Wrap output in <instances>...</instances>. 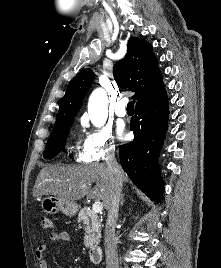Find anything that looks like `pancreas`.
Here are the masks:
<instances>
[{
  "label": "pancreas",
  "mask_w": 221,
  "mask_h": 268,
  "mask_svg": "<svg viewBox=\"0 0 221 268\" xmlns=\"http://www.w3.org/2000/svg\"><path fill=\"white\" fill-rule=\"evenodd\" d=\"M78 221L84 224L85 236L84 244L86 248H92L97 245L101 238V220L99 216L86 207L81 209L78 215Z\"/></svg>",
  "instance_id": "cf45deb5"
}]
</instances>
